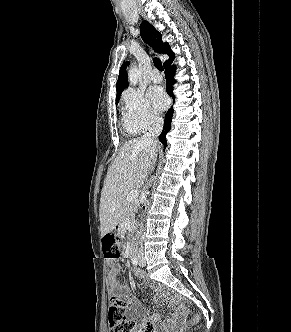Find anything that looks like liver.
Segmentation results:
<instances>
[{
	"label": "liver",
	"mask_w": 291,
	"mask_h": 332,
	"mask_svg": "<svg viewBox=\"0 0 291 332\" xmlns=\"http://www.w3.org/2000/svg\"><path fill=\"white\" fill-rule=\"evenodd\" d=\"M151 164L150 150L141 139L129 140L120 148L108 169L101 191L99 207L101 236L110 233L122 220L123 200L130 191L142 187Z\"/></svg>",
	"instance_id": "obj_1"
}]
</instances>
